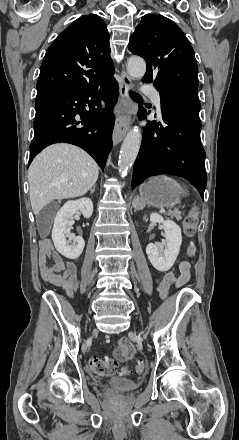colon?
<instances>
[{
	"label": "colon",
	"mask_w": 239,
	"mask_h": 440,
	"mask_svg": "<svg viewBox=\"0 0 239 440\" xmlns=\"http://www.w3.org/2000/svg\"><path fill=\"white\" fill-rule=\"evenodd\" d=\"M198 223V216L196 211L192 210L186 216L184 221V233L188 237H193L196 233ZM196 254V246L192 242L189 244L187 248V255L189 257H194ZM175 280V276L173 273H168L163 278L159 291L162 298H166L169 293V288L173 281ZM118 351L121 360H126L131 358L134 355V348L132 344L125 338H122L118 342ZM89 367L91 371L99 375H113L116 373L127 374L129 370L127 367L121 365L119 360L108 359L103 360L99 358H92L89 361ZM136 373L140 374L144 370V362L142 360H138L135 366Z\"/></svg>",
	"instance_id": "5ec220e1"
}]
</instances>
